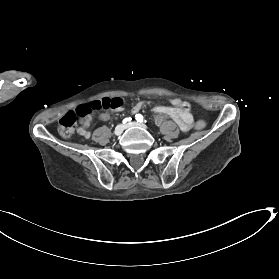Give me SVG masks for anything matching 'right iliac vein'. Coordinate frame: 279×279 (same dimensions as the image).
I'll return each instance as SVG.
<instances>
[{"label": "right iliac vein", "instance_id": "1", "mask_svg": "<svg viewBox=\"0 0 279 279\" xmlns=\"http://www.w3.org/2000/svg\"><path fill=\"white\" fill-rule=\"evenodd\" d=\"M124 129H125L124 125H122V124L117 125L114 130L115 135H117V136L121 135L123 133Z\"/></svg>", "mask_w": 279, "mask_h": 279}]
</instances>
